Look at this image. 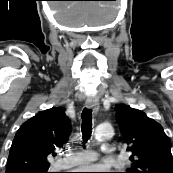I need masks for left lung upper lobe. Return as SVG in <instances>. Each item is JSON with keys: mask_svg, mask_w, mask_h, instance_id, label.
<instances>
[{"mask_svg": "<svg viewBox=\"0 0 173 173\" xmlns=\"http://www.w3.org/2000/svg\"><path fill=\"white\" fill-rule=\"evenodd\" d=\"M117 122L132 155L126 173H173L171 145L162 126L128 105H116Z\"/></svg>", "mask_w": 173, "mask_h": 173, "instance_id": "obj_1", "label": "left lung upper lobe"}]
</instances>
